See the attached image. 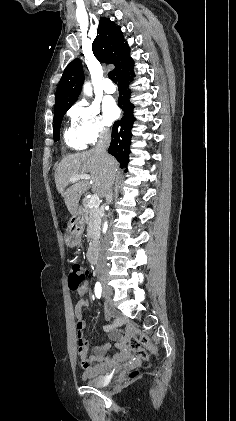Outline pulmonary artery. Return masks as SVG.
I'll return each instance as SVG.
<instances>
[{
    "mask_svg": "<svg viewBox=\"0 0 236 421\" xmlns=\"http://www.w3.org/2000/svg\"><path fill=\"white\" fill-rule=\"evenodd\" d=\"M103 90L108 94H113L116 92V86L111 82H105L103 84Z\"/></svg>",
    "mask_w": 236,
    "mask_h": 421,
    "instance_id": "obj_1",
    "label": "pulmonary artery"
}]
</instances>
